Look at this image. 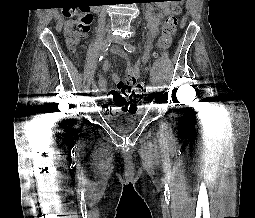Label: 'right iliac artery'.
I'll return each instance as SVG.
<instances>
[{"label": "right iliac artery", "mask_w": 255, "mask_h": 218, "mask_svg": "<svg viewBox=\"0 0 255 218\" xmlns=\"http://www.w3.org/2000/svg\"><path fill=\"white\" fill-rule=\"evenodd\" d=\"M110 44H111V41L109 39H106V40L103 41L102 48H101L102 56L100 57L99 60H101L103 58V55H106V53H107V51L109 49ZM92 89H97V86H96L95 83H93Z\"/></svg>", "instance_id": "right-iliac-artery-1"}]
</instances>
